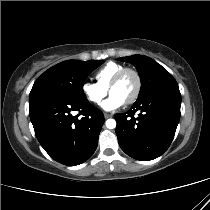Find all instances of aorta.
Wrapping results in <instances>:
<instances>
[{"label":"aorta","mask_w":210,"mask_h":210,"mask_svg":"<svg viewBox=\"0 0 210 210\" xmlns=\"http://www.w3.org/2000/svg\"><path fill=\"white\" fill-rule=\"evenodd\" d=\"M106 127L108 129H114L116 127V121L114 119H108L106 121Z\"/></svg>","instance_id":"1"}]
</instances>
